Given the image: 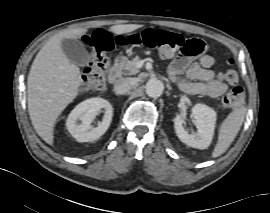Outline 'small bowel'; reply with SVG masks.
Here are the masks:
<instances>
[{
  "label": "small bowel",
  "mask_w": 270,
  "mask_h": 213,
  "mask_svg": "<svg viewBox=\"0 0 270 213\" xmlns=\"http://www.w3.org/2000/svg\"><path fill=\"white\" fill-rule=\"evenodd\" d=\"M215 61L214 56L210 54H203L198 61L181 55L173 59L169 67V76L186 93L215 98L228 89V85L219 80L211 70Z\"/></svg>",
  "instance_id": "obj_1"
}]
</instances>
